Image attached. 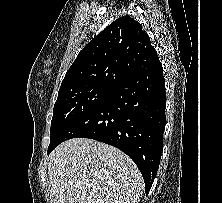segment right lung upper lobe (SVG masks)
I'll return each instance as SVG.
<instances>
[{
    "instance_id": "obj_1",
    "label": "right lung upper lobe",
    "mask_w": 222,
    "mask_h": 203,
    "mask_svg": "<svg viewBox=\"0 0 222 203\" xmlns=\"http://www.w3.org/2000/svg\"><path fill=\"white\" fill-rule=\"evenodd\" d=\"M157 59V52L141 24L130 16H123L80 51L60 89L75 86L113 88L127 75Z\"/></svg>"
}]
</instances>
